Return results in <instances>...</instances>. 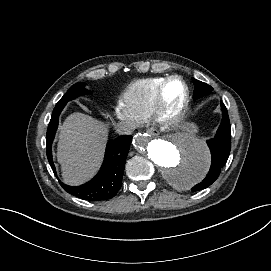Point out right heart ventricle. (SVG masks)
I'll use <instances>...</instances> for the list:
<instances>
[{"label":"right heart ventricle","instance_id":"obj_1","mask_svg":"<svg viewBox=\"0 0 271 271\" xmlns=\"http://www.w3.org/2000/svg\"><path fill=\"white\" fill-rule=\"evenodd\" d=\"M167 76L137 79L124 90L122 105L136 121L142 122L155 113L157 93Z\"/></svg>","mask_w":271,"mask_h":271}]
</instances>
